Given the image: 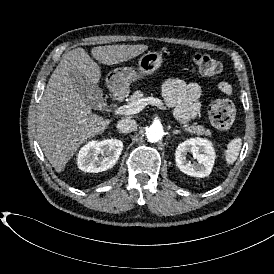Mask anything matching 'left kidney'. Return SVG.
<instances>
[{
	"instance_id": "left-kidney-1",
	"label": "left kidney",
	"mask_w": 274,
	"mask_h": 274,
	"mask_svg": "<svg viewBox=\"0 0 274 274\" xmlns=\"http://www.w3.org/2000/svg\"><path fill=\"white\" fill-rule=\"evenodd\" d=\"M188 152L193 154L198 162L191 163L186 158ZM215 160L212 144L205 139L192 138L180 143L175 151V163L180 171L193 177H207Z\"/></svg>"
}]
</instances>
